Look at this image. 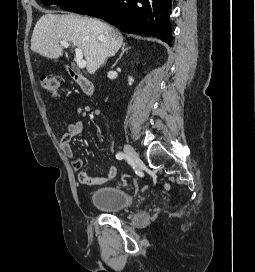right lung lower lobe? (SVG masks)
<instances>
[{
  "label": "right lung lower lobe",
  "mask_w": 255,
  "mask_h": 272,
  "mask_svg": "<svg viewBox=\"0 0 255 272\" xmlns=\"http://www.w3.org/2000/svg\"><path fill=\"white\" fill-rule=\"evenodd\" d=\"M172 0H99L86 14L99 17L123 32L147 34L171 45L168 14Z\"/></svg>",
  "instance_id": "98d812e1"
}]
</instances>
